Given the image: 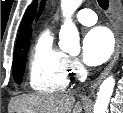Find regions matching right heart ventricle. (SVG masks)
<instances>
[{"instance_id":"e07e8e85","label":"right heart ventricle","mask_w":123,"mask_h":113,"mask_svg":"<svg viewBox=\"0 0 123 113\" xmlns=\"http://www.w3.org/2000/svg\"><path fill=\"white\" fill-rule=\"evenodd\" d=\"M68 82V57L54 45L52 33L43 31L30 56V87L41 93H57L63 91Z\"/></svg>"}]
</instances>
